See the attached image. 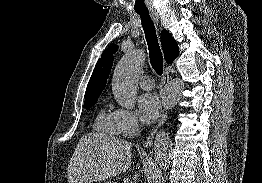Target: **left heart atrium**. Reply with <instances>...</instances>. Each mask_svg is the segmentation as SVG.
<instances>
[{"label":"left heart atrium","instance_id":"1","mask_svg":"<svg viewBox=\"0 0 262 183\" xmlns=\"http://www.w3.org/2000/svg\"><path fill=\"white\" fill-rule=\"evenodd\" d=\"M138 109L141 120L151 124L157 118L160 111L158 96L154 93H145L138 99Z\"/></svg>","mask_w":262,"mask_h":183}]
</instances>
